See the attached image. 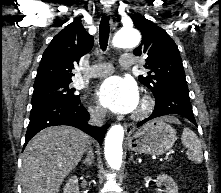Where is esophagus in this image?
Here are the masks:
<instances>
[{"instance_id": "34e87169", "label": "esophagus", "mask_w": 221, "mask_h": 193, "mask_svg": "<svg viewBox=\"0 0 221 193\" xmlns=\"http://www.w3.org/2000/svg\"><path fill=\"white\" fill-rule=\"evenodd\" d=\"M107 11H110V9H107ZM111 27H112L113 30H114L115 27H116V22L113 21V20H111ZM124 127H125V130H130V129L133 128V125L125 124Z\"/></svg>"}]
</instances>
